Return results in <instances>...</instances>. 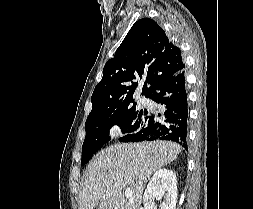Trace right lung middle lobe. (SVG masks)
I'll return each instance as SVG.
<instances>
[{"label": "right lung middle lobe", "mask_w": 253, "mask_h": 209, "mask_svg": "<svg viewBox=\"0 0 253 209\" xmlns=\"http://www.w3.org/2000/svg\"><path fill=\"white\" fill-rule=\"evenodd\" d=\"M147 112L139 107L132 106L125 110L113 111L87 118L85 129L86 138L82 146L81 164L85 165L104 144L109 140V129L117 124L124 133L119 141H124L130 135L136 133L148 120Z\"/></svg>", "instance_id": "obj_1"}]
</instances>
